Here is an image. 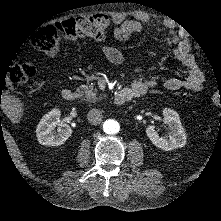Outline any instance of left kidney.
<instances>
[{
    "label": "left kidney",
    "instance_id": "5707ae66",
    "mask_svg": "<svg viewBox=\"0 0 221 221\" xmlns=\"http://www.w3.org/2000/svg\"><path fill=\"white\" fill-rule=\"evenodd\" d=\"M162 112L164 122L169 125V131L160 136L158 131L153 126H150L146 129L147 136L155 146L163 150H172L184 146L187 141V134L178 111L165 107Z\"/></svg>",
    "mask_w": 221,
    "mask_h": 221
}]
</instances>
